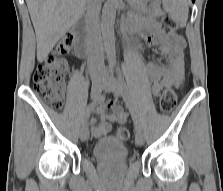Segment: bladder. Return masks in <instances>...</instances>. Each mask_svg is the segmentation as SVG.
<instances>
[{
  "instance_id": "1",
  "label": "bladder",
  "mask_w": 223,
  "mask_h": 191,
  "mask_svg": "<svg viewBox=\"0 0 223 191\" xmlns=\"http://www.w3.org/2000/svg\"><path fill=\"white\" fill-rule=\"evenodd\" d=\"M93 155L98 160L120 162L127 158L128 148L123 140L115 136H106L95 143Z\"/></svg>"
}]
</instances>
